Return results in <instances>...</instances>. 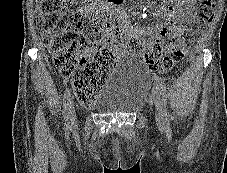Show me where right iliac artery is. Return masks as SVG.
<instances>
[{
    "label": "right iliac artery",
    "mask_w": 227,
    "mask_h": 173,
    "mask_svg": "<svg viewBox=\"0 0 227 173\" xmlns=\"http://www.w3.org/2000/svg\"><path fill=\"white\" fill-rule=\"evenodd\" d=\"M70 96H71L70 89L66 88L64 92V97H63V106H64L63 115H64L66 129L69 128L70 126V123H69Z\"/></svg>",
    "instance_id": "right-iliac-artery-1"
}]
</instances>
